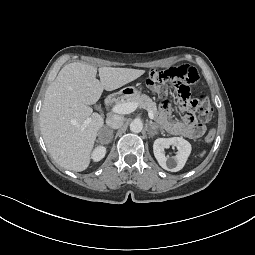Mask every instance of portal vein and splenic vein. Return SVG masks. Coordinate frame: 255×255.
<instances>
[{
    "label": "portal vein and splenic vein",
    "mask_w": 255,
    "mask_h": 255,
    "mask_svg": "<svg viewBox=\"0 0 255 255\" xmlns=\"http://www.w3.org/2000/svg\"><path fill=\"white\" fill-rule=\"evenodd\" d=\"M138 103L136 102H124V103H118L115 106L112 107L111 111L113 113H117V114H129L132 113L133 111H135L138 108ZM148 116L150 119H154V114L152 113V111L148 110ZM91 119L88 118L85 121V124L90 123Z\"/></svg>",
    "instance_id": "1"
}]
</instances>
